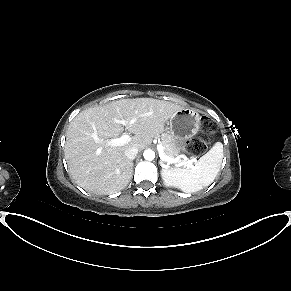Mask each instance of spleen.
Instances as JSON below:
<instances>
[{
    "mask_svg": "<svg viewBox=\"0 0 291 291\" xmlns=\"http://www.w3.org/2000/svg\"><path fill=\"white\" fill-rule=\"evenodd\" d=\"M223 159V145L217 142L192 167L163 170L169 180L183 192L192 193L208 187L220 171Z\"/></svg>",
    "mask_w": 291,
    "mask_h": 291,
    "instance_id": "obj_1",
    "label": "spleen"
}]
</instances>
